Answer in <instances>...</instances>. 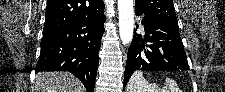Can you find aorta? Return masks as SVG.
<instances>
[{
  "label": "aorta",
  "instance_id": "aorta-1",
  "mask_svg": "<svg viewBox=\"0 0 225 92\" xmlns=\"http://www.w3.org/2000/svg\"><path fill=\"white\" fill-rule=\"evenodd\" d=\"M119 33L122 43L127 45L132 41L134 29L133 0H118Z\"/></svg>",
  "mask_w": 225,
  "mask_h": 92
}]
</instances>
